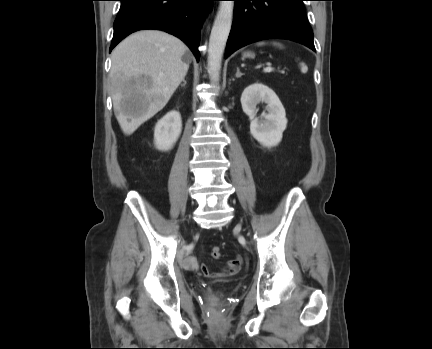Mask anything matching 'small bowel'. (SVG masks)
I'll return each mask as SVG.
<instances>
[{
	"mask_svg": "<svg viewBox=\"0 0 432 349\" xmlns=\"http://www.w3.org/2000/svg\"><path fill=\"white\" fill-rule=\"evenodd\" d=\"M241 259L236 258L227 263L225 268L221 271H211L206 266H202L201 272L203 276L211 280H224L234 277L240 270Z\"/></svg>",
	"mask_w": 432,
	"mask_h": 349,
	"instance_id": "small-bowel-1",
	"label": "small bowel"
}]
</instances>
